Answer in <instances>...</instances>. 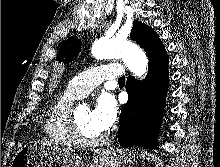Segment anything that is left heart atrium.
<instances>
[{
	"label": "left heart atrium",
	"mask_w": 220,
	"mask_h": 167,
	"mask_svg": "<svg viewBox=\"0 0 220 167\" xmlns=\"http://www.w3.org/2000/svg\"><path fill=\"white\" fill-rule=\"evenodd\" d=\"M116 116V104L113 98L108 95L100 97L90 110L91 121L101 132H105L112 126L116 120Z\"/></svg>",
	"instance_id": "left-heart-atrium-1"
}]
</instances>
